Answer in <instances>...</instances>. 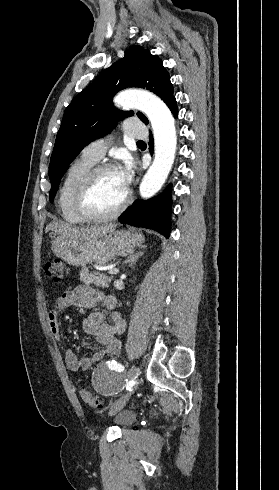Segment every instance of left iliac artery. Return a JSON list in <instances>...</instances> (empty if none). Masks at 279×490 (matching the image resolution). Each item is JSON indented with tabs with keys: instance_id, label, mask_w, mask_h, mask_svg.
I'll return each mask as SVG.
<instances>
[{
	"instance_id": "left-iliac-artery-1",
	"label": "left iliac artery",
	"mask_w": 279,
	"mask_h": 490,
	"mask_svg": "<svg viewBox=\"0 0 279 490\" xmlns=\"http://www.w3.org/2000/svg\"><path fill=\"white\" fill-rule=\"evenodd\" d=\"M109 368L121 372L124 370V366L122 364L117 363L115 360L109 361Z\"/></svg>"
}]
</instances>
